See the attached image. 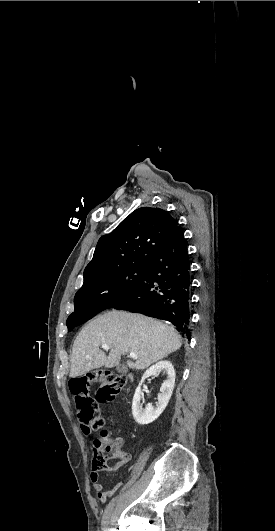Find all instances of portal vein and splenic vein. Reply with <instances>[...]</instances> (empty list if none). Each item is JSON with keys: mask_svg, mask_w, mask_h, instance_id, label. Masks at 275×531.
<instances>
[{"mask_svg": "<svg viewBox=\"0 0 275 531\" xmlns=\"http://www.w3.org/2000/svg\"><path fill=\"white\" fill-rule=\"evenodd\" d=\"M101 349H105V351H109L110 347L109 345H101ZM129 357H131V359H138L136 353H130Z\"/></svg>", "mask_w": 275, "mask_h": 531, "instance_id": "portal-vein-and-splenic-vein-1", "label": "portal vein and splenic vein"}]
</instances>
